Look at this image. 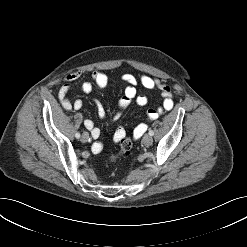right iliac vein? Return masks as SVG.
<instances>
[{
    "mask_svg": "<svg viewBox=\"0 0 247 247\" xmlns=\"http://www.w3.org/2000/svg\"><path fill=\"white\" fill-rule=\"evenodd\" d=\"M89 140V134L87 132H84L81 136V141L83 143H86Z\"/></svg>",
    "mask_w": 247,
    "mask_h": 247,
    "instance_id": "63e3f726",
    "label": "right iliac vein"
}]
</instances>
